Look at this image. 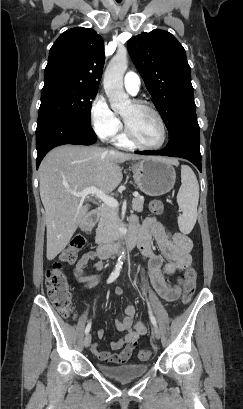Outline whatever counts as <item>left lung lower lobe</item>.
<instances>
[{"instance_id": "left-lung-lower-lobe-1", "label": "left lung lower lobe", "mask_w": 243, "mask_h": 409, "mask_svg": "<svg viewBox=\"0 0 243 409\" xmlns=\"http://www.w3.org/2000/svg\"><path fill=\"white\" fill-rule=\"evenodd\" d=\"M200 128L196 112H189L180 118L174 130L169 134V142L159 151H137L142 155H163L188 159L201 171Z\"/></svg>"}]
</instances>
